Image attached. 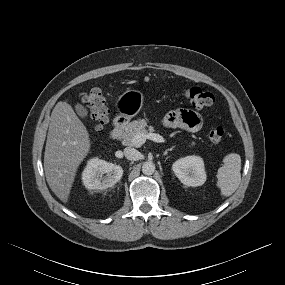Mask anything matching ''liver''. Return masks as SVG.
Here are the masks:
<instances>
[{
  "label": "liver",
  "mask_w": 285,
  "mask_h": 285,
  "mask_svg": "<svg viewBox=\"0 0 285 285\" xmlns=\"http://www.w3.org/2000/svg\"><path fill=\"white\" fill-rule=\"evenodd\" d=\"M89 133L67 101L58 102L51 114L44 153L47 183L67 203L76 171L90 151Z\"/></svg>",
  "instance_id": "obj_1"
}]
</instances>
